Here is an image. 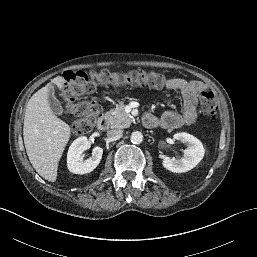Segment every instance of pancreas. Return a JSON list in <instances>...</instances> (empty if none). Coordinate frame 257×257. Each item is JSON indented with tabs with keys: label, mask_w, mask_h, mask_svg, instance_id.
<instances>
[{
	"label": "pancreas",
	"mask_w": 257,
	"mask_h": 257,
	"mask_svg": "<svg viewBox=\"0 0 257 257\" xmlns=\"http://www.w3.org/2000/svg\"><path fill=\"white\" fill-rule=\"evenodd\" d=\"M124 108V103L120 102L114 109L107 112V120L112 128L122 129L131 124L133 118L130 114L125 112Z\"/></svg>",
	"instance_id": "pancreas-1"
}]
</instances>
